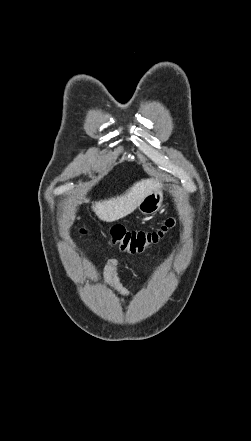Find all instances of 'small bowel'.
<instances>
[{
	"label": "small bowel",
	"mask_w": 251,
	"mask_h": 441,
	"mask_svg": "<svg viewBox=\"0 0 251 441\" xmlns=\"http://www.w3.org/2000/svg\"><path fill=\"white\" fill-rule=\"evenodd\" d=\"M120 263L117 259H108L104 269V280L106 286L114 293L122 296L129 297L130 291L124 287L118 279Z\"/></svg>",
	"instance_id": "obj_1"
}]
</instances>
